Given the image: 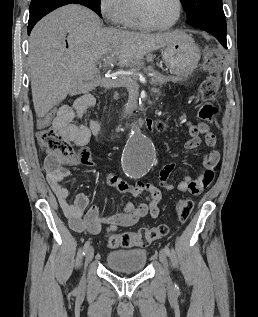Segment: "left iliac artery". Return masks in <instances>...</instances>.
I'll list each match as a JSON object with an SVG mask.
<instances>
[{
    "label": "left iliac artery",
    "mask_w": 258,
    "mask_h": 317,
    "mask_svg": "<svg viewBox=\"0 0 258 317\" xmlns=\"http://www.w3.org/2000/svg\"><path fill=\"white\" fill-rule=\"evenodd\" d=\"M164 251L167 255H170V249L168 247V245H165L164 247ZM173 290L175 293L179 294L180 293V288L179 286L175 283L174 287H173Z\"/></svg>",
    "instance_id": "left-iliac-artery-1"
}]
</instances>
